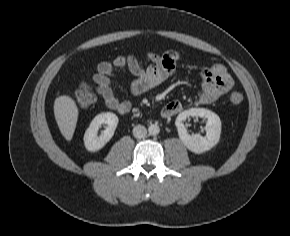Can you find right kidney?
<instances>
[{"label": "right kidney", "mask_w": 290, "mask_h": 236, "mask_svg": "<svg viewBox=\"0 0 290 236\" xmlns=\"http://www.w3.org/2000/svg\"><path fill=\"white\" fill-rule=\"evenodd\" d=\"M118 117L112 112L100 113L94 117L84 134V145L88 151L96 152L102 149L113 137L118 125ZM102 124L106 129L98 136Z\"/></svg>", "instance_id": "1"}]
</instances>
